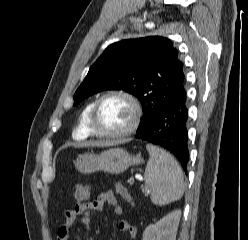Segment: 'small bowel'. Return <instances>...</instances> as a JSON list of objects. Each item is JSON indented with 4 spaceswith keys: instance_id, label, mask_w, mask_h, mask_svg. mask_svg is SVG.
<instances>
[{
    "instance_id": "1",
    "label": "small bowel",
    "mask_w": 248,
    "mask_h": 240,
    "mask_svg": "<svg viewBox=\"0 0 248 240\" xmlns=\"http://www.w3.org/2000/svg\"><path fill=\"white\" fill-rule=\"evenodd\" d=\"M106 203L114 207L116 216L120 218L124 216V210L118 204L114 193L112 191L101 192L94 201L76 204L74 208L66 212L65 221L57 230V240L68 239L70 230L79 217H82V223L85 229L88 230L93 214L100 211ZM119 227L122 231L128 233L130 237H136L137 228L130 221L122 219L119 223Z\"/></svg>"
}]
</instances>
